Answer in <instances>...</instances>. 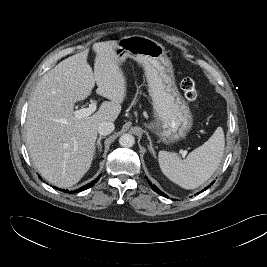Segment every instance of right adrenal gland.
Here are the masks:
<instances>
[{"mask_svg":"<svg viewBox=\"0 0 267 267\" xmlns=\"http://www.w3.org/2000/svg\"><path fill=\"white\" fill-rule=\"evenodd\" d=\"M105 136H100L97 140V143H96V146H97V151H98V155L100 154L101 152V149H102V145H101V140L104 139Z\"/></svg>","mask_w":267,"mask_h":267,"instance_id":"right-adrenal-gland-1","label":"right adrenal gland"}]
</instances>
